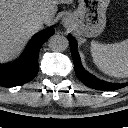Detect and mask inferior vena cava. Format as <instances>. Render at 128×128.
Returning a JSON list of instances; mask_svg holds the SVG:
<instances>
[{
  "label": "inferior vena cava",
  "mask_w": 128,
  "mask_h": 128,
  "mask_svg": "<svg viewBox=\"0 0 128 128\" xmlns=\"http://www.w3.org/2000/svg\"><path fill=\"white\" fill-rule=\"evenodd\" d=\"M38 18L40 21H42L43 23H46L50 20V13L48 10L43 9L40 11Z\"/></svg>",
  "instance_id": "1"
}]
</instances>
